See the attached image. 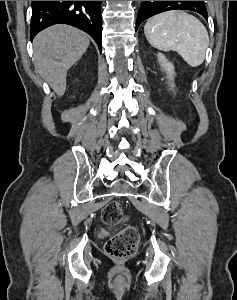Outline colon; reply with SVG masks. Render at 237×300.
Listing matches in <instances>:
<instances>
[{
  "instance_id": "5ec220e1",
  "label": "colon",
  "mask_w": 237,
  "mask_h": 300,
  "mask_svg": "<svg viewBox=\"0 0 237 300\" xmlns=\"http://www.w3.org/2000/svg\"><path fill=\"white\" fill-rule=\"evenodd\" d=\"M102 221L109 226L118 225L123 219V208L118 201H111L104 206L101 213ZM139 234L135 227L126 226L111 236L105 243V252L119 260L131 257L137 250Z\"/></svg>"
}]
</instances>
